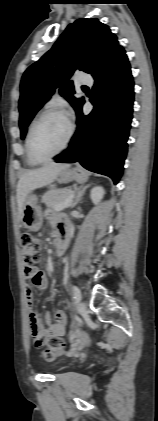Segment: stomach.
I'll list each match as a JSON object with an SVG mask.
<instances>
[{"label": "stomach", "instance_id": "stomach-1", "mask_svg": "<svg viewBox=\"0 0 158 421\" xmlns=\"http://www.w3.org/2000/svg\"><path fill=\"white\" fill-rule=\"evenodd\" d=\"M88 178V174L81 168H65L58 174V182L68 183L71 181L84 182ZM21 221L23 225L31 230L38 231L41 228L43 222V214L40 206L38 205V199L35 195L29 194L24 202Z\"/></svg>", "mask_w": 158, "mask_h": 421}]
</instances>
